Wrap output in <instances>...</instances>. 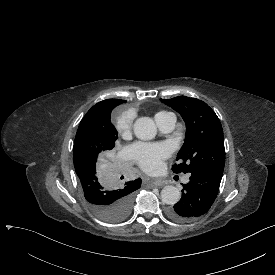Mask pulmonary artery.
I'll return each instance as SVG.
<instances>
[{
    "mask_svg": "<svg viewBox=\"0 0 275 275\" xmlns=\"http://www.w3.org/2000/svg\"><path fill=\"white\" fill-rule=\"evenodd\" d=\"M155 121L160 131H162L163 133H169L175 128L176 116L173 113H168L164 116L156 117ZM189 180V174L185 175L182 178L183 183H188Z\"/></svg>",
    "mask_w": 275,
    "mask_h": 275,
    "instance_id": "e3ab8cb5",
    "label": "pulmonary artery"
}]
</instances>
